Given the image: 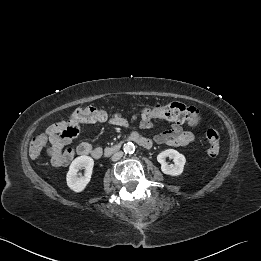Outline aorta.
<instances>
[{
	"label": "aorta",
	"mask_w": 261,
	"mask_h": 261,
	"mask_svg": "<svg viewBox=\"0 0 261 261\" xmlns=\"http://www.w3.org/2000/svg\"><path fill=\"white\" fill-rule=\"evenodd\" d=\"M123 149L126 154H133L135 152V145L132 142H128L124 144Z\"/></svg>",
	"instance_id": "1"
}]
</instances>
